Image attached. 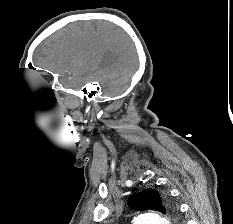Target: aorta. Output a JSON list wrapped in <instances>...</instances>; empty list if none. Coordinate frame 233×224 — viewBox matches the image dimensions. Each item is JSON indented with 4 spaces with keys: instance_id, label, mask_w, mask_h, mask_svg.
<instances>
[{
    "instance_id": "aorta-1",
    "label": "aorta",
    "mask_w": 233,
    "mask_h": 224,
    "mask_svg": "<svg viewBox=\"0 0 233 224\" xmlns=\"http://www.w3.org/2000/svg\"><path fill=\"white\" fill-rule=\"evenodd\" d=\"M134 224H169V222L159 215L144 213L135 219Z\"/></svg>"
}]
</instances>
